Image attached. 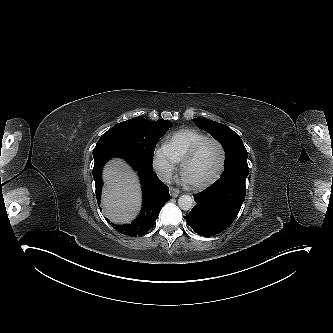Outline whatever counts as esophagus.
Listing matches in <instances>:
<instances>
[{"instance_id": "obj_1", "label": "esophagus", "mask_w": 333, "mask_h": 333, "mask_svg": "<svg viewBox=\"0 0 333 333\" xmlns=\"http://www.w3.org/2000/svg\"><path fill=\"white\" fill-rule=\"evenodd\" d=\"M180 191L177 188L170 187V195L173 198H176L179 195Z\"/></svg>"}]
</instances>
